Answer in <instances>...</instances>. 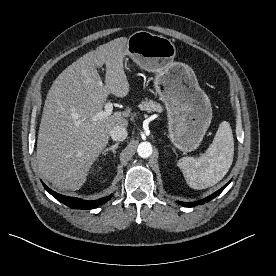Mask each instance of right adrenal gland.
<instances>
[{
  "mask_svg": "<svg viewBox=\"0 0 276 276\" xmlns=\"http://www.w3.org/2000/svg\"><path fill=\"white\" fill-rule=\"evenodd\" d=\"M118 145H119V142H116L115 144L111 145L109 148L105 149L103 152H102V155H106L109 151H111L114 156L116 154V149L118 148Z\"/></svg>",
  "mask_w": 276,
  "mask_h": 276,
  "instance_id": "2a0ac1e0",
  "label": "right adrenal gland"
}]
</instances>
